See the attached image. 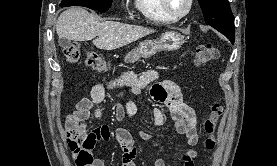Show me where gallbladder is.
<instances>
[{
	"label": "gallbladder",
	"mask_w": 277,
	"mask_h": 166,
	"mask_svg": "<svg viewBox=\"0 0 277 166\" xmlns=\"http://www.w3.org/2000/svg\"><path fill=\"white\" fill-rule=\"evenodd\" d=\"M58 43L61 47L65 48V47H68L70 45V40H68L66 38H60L58 40Z\"/></svg>",
	"instance_id": "gallbladder-1"
}]
</instances>
